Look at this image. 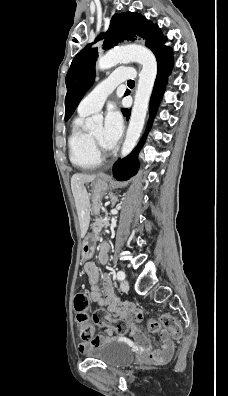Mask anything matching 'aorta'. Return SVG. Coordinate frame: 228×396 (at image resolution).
<instances>
[{"instance_id": "aorta-1", "label": "aorta", "mask_w": 228, "mask_h": 396, "mask_svg": "<svg viewBox=\"0 0 228 396\" xmlns=\"http://www.w3.org/2000/svg\"><path fill=\"white\" fill-rule=\"evenodd\" d=\"M135 61L142 65L139 74L134 105L129 126L121 149V157L127 156L135 147L143 130L150 96L157 76V61L154 54L143 46L130 45L107 52L97 62L98 70H106L119 63ZM101 116H92L86 120V127L93 129L102 125Z\"/></svg>"}]
</instances>
